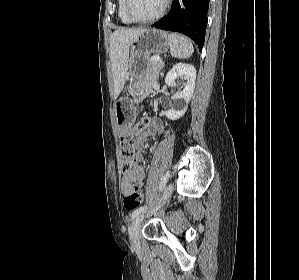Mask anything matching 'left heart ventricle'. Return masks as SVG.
<instances>
[{"label":"left heart ventricle","mask_w":299,"mask_h":280,"mask_svg":"<svg viewBox=\"0 0 299 280\" xmlns=\"http://www.w3.org/2000/svg\"><path fill=\"white\" fill-rule=\"evenodd\" d=\"M164 0H130V12L138 19H146L156 14Z\"/></svg>","instance_id":"1"}]
</instances>
